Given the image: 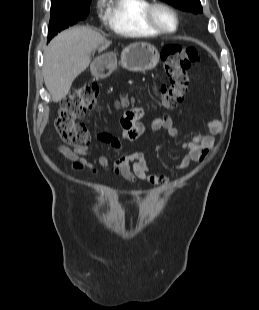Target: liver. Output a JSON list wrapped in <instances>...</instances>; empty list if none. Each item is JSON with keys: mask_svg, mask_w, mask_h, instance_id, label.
Segmentation results:
<instances>
[{"mask_svg": "<svg viewBox=\"0 0 259 310\" xmlns=\"http://www.w3.org/2000/svg\"><path fill=\"white\" fill-rule=\"evenodd\" d=\"M111 42L89 27L78 26L58 34L44 51L43 75L53 102L68 94L75 78L89 66L91 53Z\"/></svg>", "mask_w": 259, "mask_h": 310, "instance_id": "obj_1", "label": "liver"}]
</instances>
